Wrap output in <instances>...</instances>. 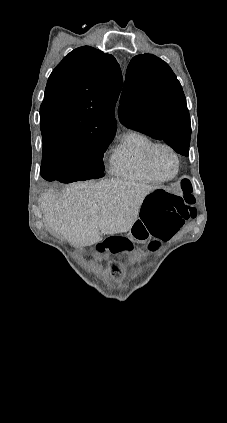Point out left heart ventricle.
Instances as JSON below:
<instances>
[{
  "instance_id": "obj_1",
  "label": "left heart ventricle",
  "mask_w": 227,
  "mask_h": 423,
  "mask_svg": "<svg viewBox=\"0 0 227 423\" xmlns=\"http://www.w3.org/2000/svg\"><path fill=\"white\" fill-rule=\"evenodd\" d=\"M152 164L157 173L165 178L171 177L176 170L173 155L164 148L155 150L152 156Z\"/></svg>"
}]
</instances>
